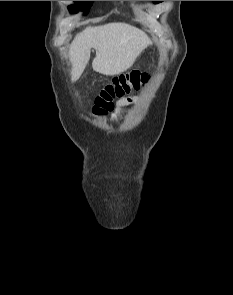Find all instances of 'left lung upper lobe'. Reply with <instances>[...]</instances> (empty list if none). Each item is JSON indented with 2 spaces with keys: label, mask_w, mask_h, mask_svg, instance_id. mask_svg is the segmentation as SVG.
<instances>
[{
  "label": "left lung upper lobe",
  "mask_w": 233,
  "mask_h": 295,
  "mask_svg": "<svg viewBox=\"0 0 233 295\" xmlns=\"http://www.w3.org/2000/svg\"><path fill=\"white\" fill-rule=\"evenodd\" d=\"M155 4H157V3H160V2H162V1H153Z\"/></svg>",
  "instance_id": "obj_1"
}]
</instances>
